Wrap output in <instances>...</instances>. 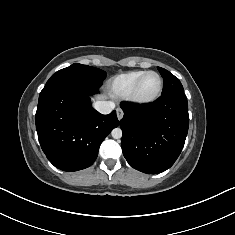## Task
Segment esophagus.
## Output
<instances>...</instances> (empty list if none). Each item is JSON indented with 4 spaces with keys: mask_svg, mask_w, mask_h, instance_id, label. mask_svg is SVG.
<instances>
[{
    "mask_svg": "<svg viewBox=\"0 0 235 235\" xmlns=\"http://www.w3.org/2000/svg\"><path fill=\"white\" fill-rule=\"evenodd\" d=\"M116 112H117V118H118V120H121V119L123 118V115H124L122 109L117 108Z\"/></svg>",
    "mask_w": 235,
    "mask_h": 235,
    "instance_id": "obj_1",
    "label": "esophagus"
}]
</instances>
